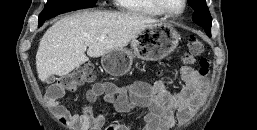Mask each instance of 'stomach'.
<instances>
[{"label": "stomach", "instance_id": "obj_1", "mask_svg": "<svg viewBox=\"0 0 257 130\" xmlns=\"http://www.w3.org/2000/svg\"><path fill=\"white\" fill-rule=\"evenodd\" d=\"M145 34L149 41L142 42L137 36L131 42L132 50L123 48L105 53L101 58L104 70L114 76L123 75L130 69L134 56L146 61H157L171 54L180 41L178 32L166 22L155 24L140 33Z\"/></svg>", "mask_w": 257, "mask_h": 130}]
</instances>
